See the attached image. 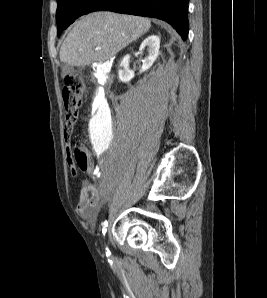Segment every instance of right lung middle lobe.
I'll return each instance as SVG.
<instances>
[{"mask_svg":"<svg viewBox=\"0 0 267 298\" xmlns=\"http://www.w3.org/2000/svg\"><path fill=\"white\" fill-rule=\"evenodd\" d=\"M99 0H57L56 21L59 36L78 17L91 12Z\"/></svg>","mask_w":267,"mask_h":298,"instance_id":"obj_1","label":"right lung middle lobe"}]
</instances>
